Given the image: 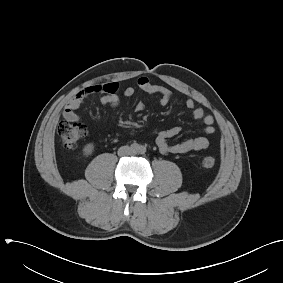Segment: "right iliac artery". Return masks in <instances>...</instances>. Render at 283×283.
Listing matches in <instances>:
<instances>
[{"mask_svg":"<svg viewBox=\"0 0 283 283\" xmlns=\"http://www.w3.org/2000/svg\"><path fill=\"white\" fill-rule=\"evenodd\" d=\"M139 145L137 144V143H133L132 145H131V149L133 150V151H138L139 150Z\"/></svg>","mask_w":283,"mask_h":283,"instance_id":"obj_1","label":"right iliac artery"}]
</instances>
